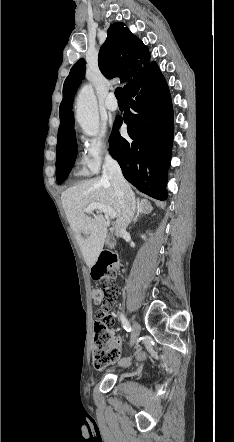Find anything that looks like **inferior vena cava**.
<instances>
[{
  "label": "inferior vena cava",
  "instance_id": "obj_1",
  "mask_svg": "<svg viewBox=\"0 0 234 442\" xmlns=\"http://www.w3.org/2000/svg\"><path fill=\"white\" fill-rule=\"evenodd\" d=\"M103 178H107L111 181L120 199L121 216L116 220L115 225L116 234L120 237L126 232V228L133 219L136 208L135 196L128 182L123 177L119 164L110 155L105 157Z\"/></svg>",
  "mask_w": 234,
  "mask_h": 442
}]
</instances>
